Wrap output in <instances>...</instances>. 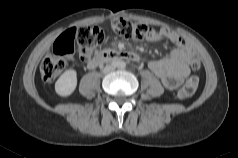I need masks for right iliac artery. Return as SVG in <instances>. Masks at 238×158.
Wrapping results in <instances>:
<instances>
[{
    "label": "right iliac artery",
    "instance_id": "right-iliac-artery-1",
    "mask_svg": "<svg viewBox=\"0 0 238 158\" xmlns=\"http://www.w3.org/2000/svg\"><path fill=\"white\" fill-rule=\"evenodd\" d=\"M112 65H113L114 67H117V66H119V63H118V62H113Z\"/></svg>",
    "mask_w": 238,
    "mask_h": 158
}]
</instances>
